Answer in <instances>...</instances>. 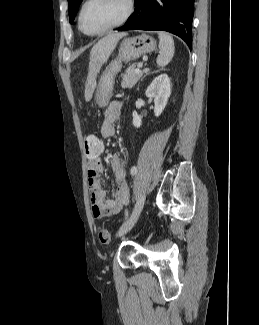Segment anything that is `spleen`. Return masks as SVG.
<instances>
[{
    "mask_svg": "<svg viewBox=\"0 0 259 325\" xmlns=\"http://www.w3.org/2000/svg\"><path fill=\"white\" fill-rule=\"evenodd\" d=\"M159 55L157 57V64L160 67L166 66L174 56V41L173 38L165 32H159Z\"/></svg>",
    "mask_w": 259,
    "mask_h": 325,
    "instance_id": "spleen-1",
    "label": "spleen"
}]
</instances>
